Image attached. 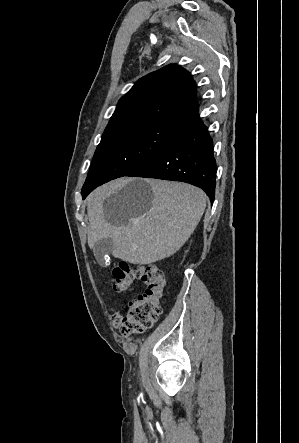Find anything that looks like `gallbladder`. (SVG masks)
<instances>
[{"label":"gallbladder","mask_w":299,"mask_h":443,"mask_svg":"<svg viewBox=\"0 0 299 443\" xmlns=\"http://www.w3.org/2000/svg\"><path fill=\"white\" fill-rule=\"evenodd\" d=\"M114 243L110 238L100 239L93 248V253L101 266L106 264V259L112 254Z\"/></svg>","instance_id":"1"}]
</instances>
